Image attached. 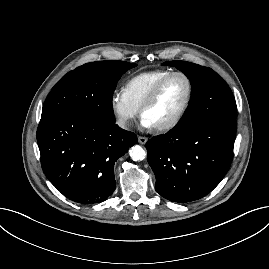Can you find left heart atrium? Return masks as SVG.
Wrapping results in <instances>:
<instances>
[{"instance_id": "left-heart-atrium-1", "label": "left heart atrium", "mask_w": 269, "mask_h": 269, "mask_svg": "<svg viewBox=\"0 0 269 269\" xmlns=\"http://www.w3.org/2000/svg\"><path fill=\"white\" fill-rule=\"evenodd\" d=\"M141 126L144 128H152L153 125L144 117L141 119Z\"/></svg>"}]
</instances>
